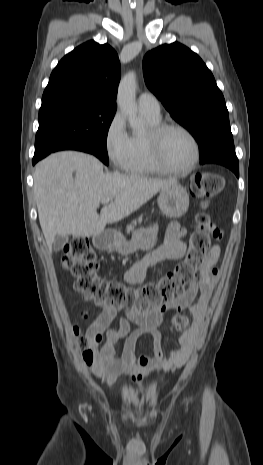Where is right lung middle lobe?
<instances>
[{"label": "right lung middle lobe", "mask_w": 263, "mask_h": 465, "mask_svg": "<svg viewBox=\"0 0 263 465\" xmlns=\"http://www.w3.org/2000/svg\"><path fill=\"white\" fill-rule=\"evenodd\" d=\"M116 108L74 100L42 103L33 158H41L65 144L87 149L108 164L107 134Z\"/></svg>", "instance_id": "dd1d6c3e"}]
</instances>
